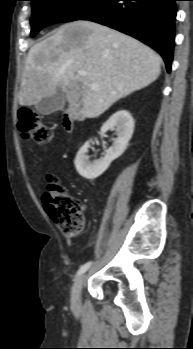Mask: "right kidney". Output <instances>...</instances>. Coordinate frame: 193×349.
<instances>
[{"label": "right kidney", "mask_w": 193, "mask_h": 349, "mask_svg": "<svg viewBox=\"0 0 193 349\" xmlns=\"http://www.w3.org/2000/svg\"><path fill=\"white\" fill-rule=\"evenodd\" d=\"M113 128L116 129L117 138L103 158L89 162L87 152L90 141H87L78 151L74 164L82 177L90 180L99 177L108 169L112 161L123 154L134 131V120L131 114L126 110L117 111L102 126L101 132L105 133Z\"/></svg>", "instance_id": "ca27d5eb"}]
</instances>
